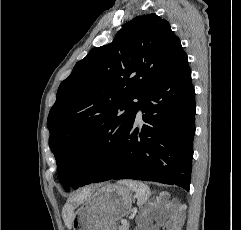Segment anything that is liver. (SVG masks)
I'll return each instance as SVG.
<instances>
[{"instance_id":"liver-1","label":"liver","mask_w":241,"mask_h":230,"mask_svg":"<svg viewBox=\"0 0 241 230\" xmlns=\"http://www.w3.org/2000/svg\"><path fill=\"white\" fill-rule=\"evenodd\" d=\"M73 218H74V213L72 210L68 211L67 215H64V222L68 229L72 228Z\"/></svg>"}]
</instances>
